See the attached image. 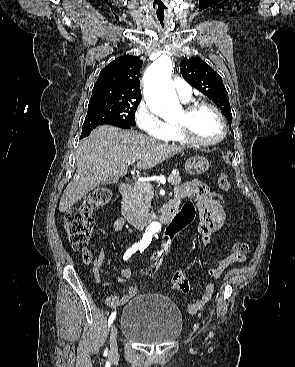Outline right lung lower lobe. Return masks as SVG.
Wrapping results in <instances>:
<instances>
[{
  "instance_id": "1",
  "label": "right lung lower lobe",
  "mask_w": 295,
  "mask_h": 367,
  "mask_svg": "<svg viewBox=\"0 0 295 367\" xmlns=\"http://www.w3.org/2000/svg\"><path fill=\"white\" fill-rule=\"evenodd\" d=\"M118 127L123 128V129H129V128H131V126H130V125H120V126H118ZM92 130H93V129H91V130L87 131V133H86V134H84V135H81V137H86V136H88V135L91 133V131H92Z\"/></svg>"
}]
</instances>
